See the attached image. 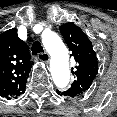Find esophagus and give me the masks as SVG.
I'll list each match as a JSON object with an SVG mask.
<instances>
[{"mask_svg": "<svg viewBox=\"0 0 117 117\" xmlns=\"http://www.w3.org/2000/svg\"><path fill=\"white\" fill-rule=\"evenodd\" d=\"M38 59L44 63H48L50 60V56L48 53H40L38 55Z\"/></svg>", "mask_w": 117, "mask_h": 117, "instance_id": "esophagus-1", "label": "esophagus"}]
</instances>
